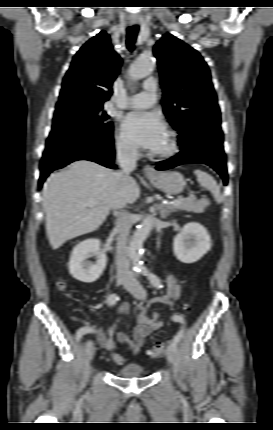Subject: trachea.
<instances>
[{"label": "trachea", "instance_id": "3493384b", "mask_svg": "<svg viewBox=\"0 0 273 430\" xmlns=\"http://www.w3.org/2000/svg\"><path fill=\"white\" fill-rule=\"evenodd\" d=\"M137 33H138V26L134 25V26H130L127 30V40H126V44H127V48L130 51L134 50V43L137 37Z\"/></svg>", "mask_w": 273, "mask_h": 430}]
</instances>
